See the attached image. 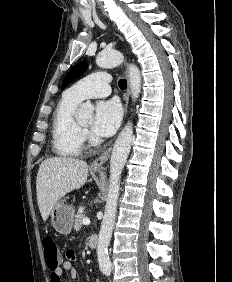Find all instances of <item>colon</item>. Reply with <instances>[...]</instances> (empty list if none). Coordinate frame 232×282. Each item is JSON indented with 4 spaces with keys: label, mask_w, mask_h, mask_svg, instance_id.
I'll use <instances>...</instances> for the list:
<instances>
[{
    "label": "colon",
    "mask_w": 232,
    "mask_h": 282,
    "mask_svg": "<svg viewBox=\"0 0 232 282\" xmlns=\"http://www.w3.org/2000/svg\"><path fill=\"white\" fill-rule=\"evenodd\" d=\"M42 245L47 267L51 271L56 270L61 263V255L56 242L50 237H45L42 241Z\"/></svg>",
    "instance_id": "1"
}]
</instances>
